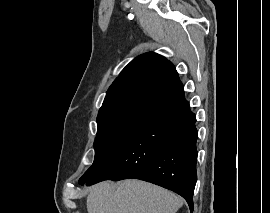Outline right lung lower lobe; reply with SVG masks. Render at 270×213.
Returning a JSON list of instances; mask_svg holds the SVG:
<instances>
[{"label": "right lung lower lobe", "mask_w": 270, "mask_h": 213, "mask_svg": "<svg viewBox=\"0 0 270 213\" xmlns=\"http://www.w3.org/2000/svg\"><path fill=\"white\" fill-rule=\"evenodd\" d=\"M195 122L184 91L157 104L107 165L85 181L86 185L107 179L144 180L181 195L192 213L197 181Z\"/></svg>", "instance_id": "1"}]
</instances>
